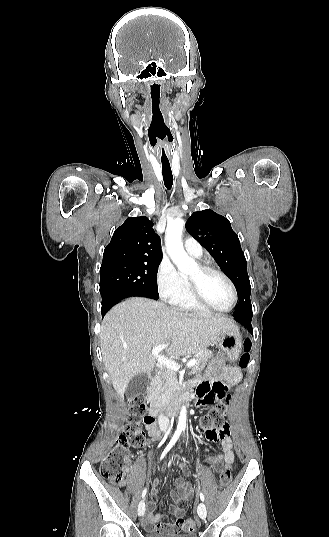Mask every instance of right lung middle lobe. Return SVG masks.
<instances>
[{
	"label": "right lung middle lobe",
	"instance_id": "dd1d6c3e",
	"mask_svg": "<svg viewBox=\"0 0 329 537\" xmlns=\"http://www.w3.org/2000/svg\"><path fill=\"white\" fill-rule=\"evenodd\" d=\"M160 260L101 265L100 293L117 289L158 298L157 271Z\"/></svg>",
	"mask_w": 329,
	"mask_h": 537
}]
</instances>
